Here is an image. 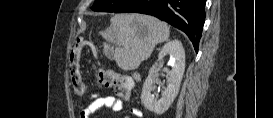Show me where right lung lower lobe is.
I'll return each instance as SVG.
<instances>
[{"mask_svg": "<svg viewBox=\"0 0 273 118\" xmlns=\"http://www.w3.org/2000/svg\"><path fill=\"white\" fill-rule=\"evenodd\" d=\"M205 4L206 0H129L116 12L158 17L185 32L197 52L205 22Z\"/></svg>", "mask_w": 273, "mask_h": 118, "instance_id": "obj_1", "label": "right lung lower lobe"}]
</instances>
